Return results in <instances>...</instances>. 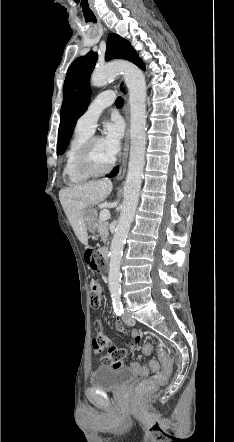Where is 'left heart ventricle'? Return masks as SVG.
Here are the masks:
<instances>
[{
    "label": "left heart ventricle",
    "instance_id": "left-heart-ventricle-1",
    "mask_svg": "<svg viewBox=\"0 0 234 442\" xmlns=\"http://www.w3.org/2000/svg\"><path fill=\"white\" fill-rule=\"evenodd\" d=\"M113 158L105 150L101 139L96 140L92 147V161L96 168L102 169L109 165Z\"/></svg>",
    "mask_w": 234,
    "mask_h": 442
}]
</instances>
